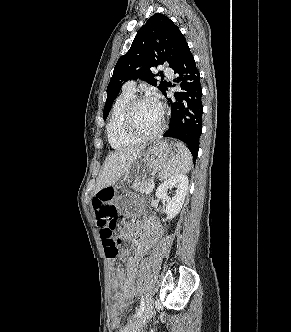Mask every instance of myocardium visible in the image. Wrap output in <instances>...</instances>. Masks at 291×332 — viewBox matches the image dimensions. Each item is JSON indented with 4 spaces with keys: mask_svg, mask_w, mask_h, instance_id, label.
Instances as JSON below:
<instances>
[{
    "mask_svg": "<svg viewBox=\"0 0 291 332\" xmlns=\"http://www.w3.org/2000/svg\"><path fill=\"white\" fill-rule=\"evenodd\" d=\"M146 101L155 102L158 105L160 112H161V124L156 131H154L153 133H150V134H143V133L138 132L135 128V123H134L136 109L138 108V106L141 103L146 102ZM166 125H167V122H166V113H165L164 106L157 99H155L151 96H148V95L137 96L134 99H132L126 109V112L124 115V120H123V126H124V130H125L126 134L138 141H146V140H151V139L157 138L158 136H160L163 133V131L166 128Z\"/></svg>",
    "mask_w": 291,
    "mask_h": 332,
    "instance_id": "obj_1",
    "label": "myocardium"
}]
</instances>
